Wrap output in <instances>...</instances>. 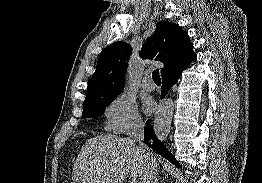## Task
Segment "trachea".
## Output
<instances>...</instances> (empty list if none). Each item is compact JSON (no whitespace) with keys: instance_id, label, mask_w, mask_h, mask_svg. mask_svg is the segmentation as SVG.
<instances>
[{"instance_id":"trachea-1","label":"trachea","mask_w":262,"mask_h":183,"mask_svg":"<svg viewBox=\"0 0 262 183\" xmlns=\"http://www.w3.org/2000/svg\"><path fill=\"white\" fill-rule=\"evenodd\" d=\"M152 79L154 82H161V78H160V74H159V70L156 69L152 72Z\"/></svg>"}]
</instances>
